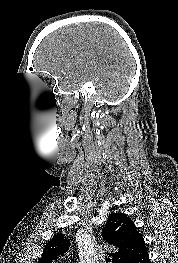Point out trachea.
<instances>
[{
    "label": "trachea",
    "mask_w": 178,
    "mask_h": 263,
    "mask_svg": "<svg viewBox=\"0 0 178 263\" xmlns=\"http://www.w3.org/2000/svg\"><path fill=\"white\" fill-rule=\"evenodd\" d=\"M110 262V259L109 258H106V263H109Z\"/></svg>",
    "instance_id": "obj_1"
}]
</instances>
